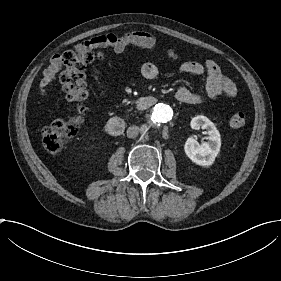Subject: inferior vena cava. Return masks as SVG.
Masks as SVG:
<instances>
[{
    "instance_id": "obj_1",
    "label": "inferior vena cava",
    "mask_w": 281,
    "mask_h": 281,
    "mask_svg": "<svg viewBox=\"0 0 281 281\" xmlns=\"http://www.w3.org/2000/svg\"><path fill=\"white\" fill-rule=\"evenodd\" d=\"M139 134V127L138 126H130L127 129V137L128 138H136Z\"/></svg>"
}]
</instances>
